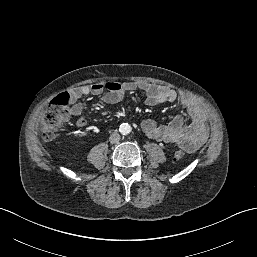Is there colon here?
Masks as SVG:
<instances>
[{"instance_id": "5ec220e1", "label": "colon", "mask_w": 257, "mask_h": 257, "mask_svg": "<svg viewBox=\"0 0 257 257\" xmlns=\"http://www.w3.org/2000/svg\"><path fill=\"white\" fill-rule=\"evenodd\" d=\"M70 117V95L62 92L56 95L49 103L42 114L40 131L42 138L51 141L55 138L56 132L68 121ZM186 155L184 150H177L174 161L183 159Z\"/></svg>"}]
</instances>
